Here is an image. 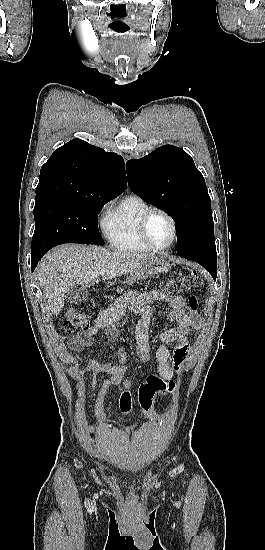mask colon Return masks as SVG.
<instances>
[{
	"mask_svg": "<svg viewBox=\"0 0 265 550\" xmlns=\"http://www.w3.org/2000/svg\"><path fill=\"white\" fill-rule=\"evenodd\" d=\"M202 280L196 271L190 268L181 269L178 274L167 281L165 290L168 292L189 291L198 287ZM188 304L192 310H196L198 301L191 296ZM90 326V320L86 313L77 307H68L64 311L63 328L66 332L86 330ZM172 395L173 388L160 376H151L142 383L137 390V403L142 413L150 419H157L158 415L154 409L155 398L164 395L165 392Z\"/></svg>",
	"mask_w": 265,
	"mask_h": 550,
	"instance_id": "5ec220e1",
	"label": "colon"
}]
</instances>
